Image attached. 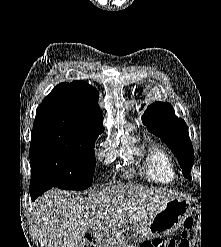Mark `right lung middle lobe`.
<instances>
[{
    "label": "right lung middle lobe",
    "mask_w": 221,
    "mask_h": 247,
    "mask_svg": "<svg viewBox=\"0 0 221 247\" xmlns=\"http://www.w3.org/2000/svg\"><path fill=\"white\" fill-rule=\"evenodd\" d=\"M96 139L62 129H33L29 152L32 177L65 190L88 188L96 166Z\"/></svg>",
    "instance_id": "right-lung-middle-lobe-1"
}]
</instances>
